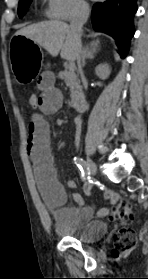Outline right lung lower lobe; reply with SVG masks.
Listing matches in <instances>:
<instances>
[{
  "label": "right lung lower lobe",
  "instance_id": "1",
  "mask_svg": "<svg viewBox=\"0 0 148 279\" xmlns=\"http://www.w3.org/2000/svg\"><path fill=\"white\" fill-rule=\"evenodd\" d=\"M136 11L137 0H107L96 3L92 9L94 29L116 40L121 58L127 55L130 39L135 33L133 17Z\"/></svg>",
  "mask_w": 148,
  "mask_h": 279
}]
</instances>
